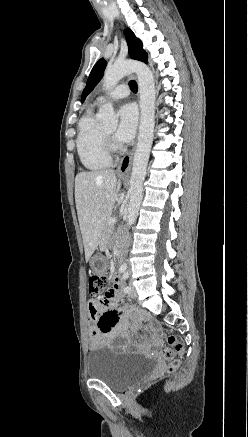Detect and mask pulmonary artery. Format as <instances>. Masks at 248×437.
Returning <instances> with one entry per match:
<instances>
[{
  "mask_svg": "<svg viewBox=\"0 0 248 437\" xmlns=\"http://www.w3.org/2000/svg\"><path fill=\"white\" fill-rule=\"evenodd\" d=\"M129 93H130V89L128 85L122 83L115 86L107 93L100 95L97 98V103L102 104L108 100H117V99L125 98L129 95Z\"/></svg>",
  "mask_w": 248,
  "mask_h": 437,
  "instance_id": "1",
  "label": "pulmonary artery"
}]
</instances>
